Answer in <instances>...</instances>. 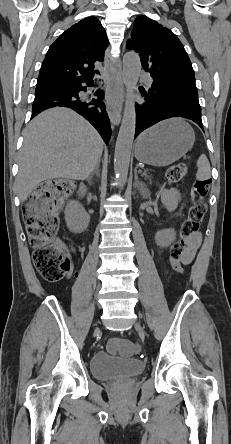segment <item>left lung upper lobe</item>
I'll list each match as a JSON object with an SVG mask.
<instances>
[{"mask_svg":"<svg viewBox=\"0 0 231 444\" xmlns=\"http://www.w3.org/2000/svg\"><path fill=\"white\" fill-rule=\"evenodd\" d=\"M127 48L139 53L142 66L155 81L152 85L198 96L191 61L171 30L146 16H139Z\"/></svg>","mask_w":231,"mask_h":444,"instance_id":"1","label":"left lung upper lobe"}]
</instances>
